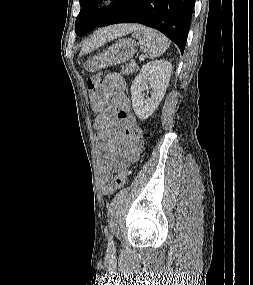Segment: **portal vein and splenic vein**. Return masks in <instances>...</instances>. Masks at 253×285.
Wrapping results in <instances>:
<instances>
[{
  "mask_svg": "<svg viewBox=\"0 0 253 285\" xmlns=\"http://www.w3.org/2000/svg\"><path fill=\"white\" fill-rule=\"evenodd\" d=\"M139 59H140V60H143V59H144V56H140Z\"/></svg>",
  "mask_w": 253,
  "mask_h": 285,
  "instance_id": "18ae733b",
  "label": "portal vein and splenic vein"
}]
</instances>
